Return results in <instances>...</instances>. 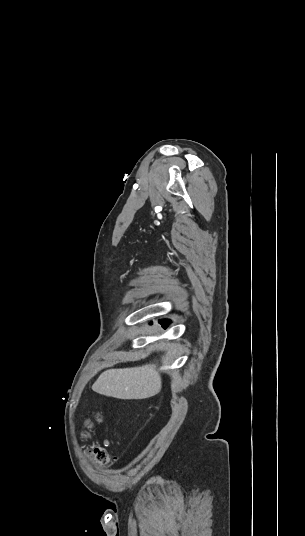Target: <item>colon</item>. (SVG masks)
Segmentation results:
<instances>
[{"instance_id":"1","label":"colon","mask_w":305,"mask_h":536,"mask_svg":"<svg viewBox=\"0 0 305 536\" xmlns=\"http://www.w3.org/2000/svg\"><path fill=\"white\" fill-rule=\"evenodd\" d=\"M100 419H101V414L99 413V411H97L92 418L88 419L85 422L84 430L81 433V439L82 440L86 441L90 437L91 430L93 429L95 422L99 421ZM83 451L84 452H90L91 451V446L90 445H84L83 446ZM93 454H94V457H95L96 461L99 462L100 464H105V463H107L109 461L108 451H107V449H105L102 446L93 447Z\"/></svg>"}]
</instances>
